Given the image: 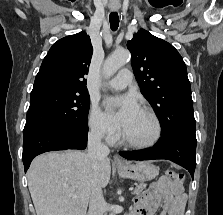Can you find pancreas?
<instances>
[{
	"label": "pancreas",
	"instance_id": "cf45deb5",
	"mask_svg": "<svg viewBox=\"0 0 223 215\" xmlns=\"http://www.w3.org/2000/svg\"><path fill=\"white\" fill-rule=\"evenodd\" d=\"M147 183H139V185H137L136 189H134L133 193H140V191H142V189H145Z\"/></svg>",
	"mask_w": 223,
	"mask_h": 215
}]
</instances>
